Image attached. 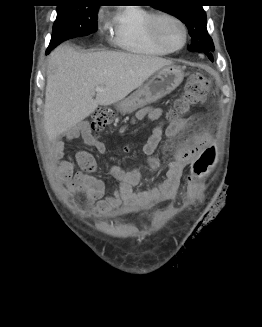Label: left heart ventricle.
Listing matches in <instances>:
<instances>
[{"label":"left heart ventricle","instance_id":"obj_1","mask_svg":"<svg viewBox=\"0 0 262 327\" xmlns=\"http://www.w3.org/2000/svg\"><path fill=\"white\" fill-rule=\"evenodd\" d=\"M160 29L165 40L173 47H178L183 42V30L181 26L169 19H165L160 24Z\"/></svg>","mask_w":262,"mask_h":327}]
</instances>
